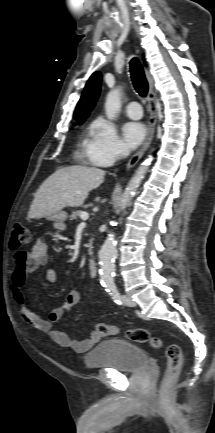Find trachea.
I'll use <instances>...</instances> for the list:
<instances>
[{"label": "trachea", "mask_w": 215, "mask_h": 433, "mask_svg": "<svg viewBox=\"0 0 215 433\" xmlns=\"http://www.w3.org/2000/svg\"><path fill=\"white\" fill-rule=\"evenodd\" d=\"M130 73L135 90L140 96L146 97L148 93V82L143 68L136 58L130 61Z\"/></svg>", "instance_id": "3493384b"}]
</instances>
